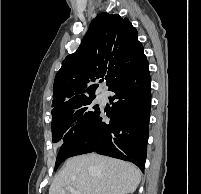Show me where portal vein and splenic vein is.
<instances>
[{
  "label": "portal vein and splenic vein",
  "instance_id": "portal-vein-and-splenic-vein-1",
  "mask_svg": "<svg viewBox=\"0 0 201 194\" xmlns=\"http://www.w3.org/2000/svg\"><path fill=\"white\" fill-rule=\"evenodd\" d=\"M66 192H69L70 194H81L79 191L75 190L71 186L65 187V189L62 190L61 194H66Z\"/></svg>",
  "mask_w": 201,
  "mask_h": 194
}]
</instances>
